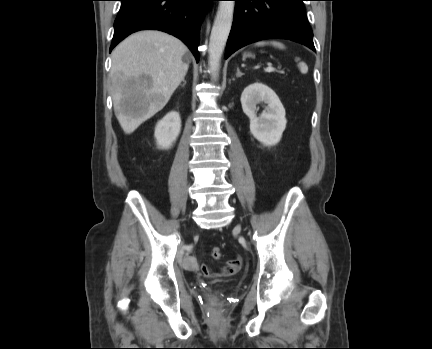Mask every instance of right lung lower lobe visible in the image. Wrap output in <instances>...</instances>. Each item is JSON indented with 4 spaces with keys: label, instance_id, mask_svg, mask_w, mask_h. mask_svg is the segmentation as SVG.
Returning a JSON list of instances; mask_svg holds the SVG:
<instances>
[{
    "label": "right lung lower lobe",
    "instance_id": "obj_1",
    "mask_svg": "<svg viewBox=\"0 0 432 349\" xmlns=\"http://www.w3.org/2000/svg\"><path fill=\"white\" fill-rule=\"evenodd\" d=\"M114 22L112 49L139 30L155 29L182 40L199 60L197 50L203 15L213 0H120Z\"/></svg>",
    "mask_w": 432,
    "mask_h": 349
}]
</instances>
